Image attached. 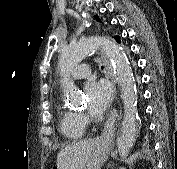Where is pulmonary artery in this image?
<instances>
[{"mask_svg":"<svg viewBox=\"0 0 177 169\" xmlns=\"http://www.w3.org/2000/svg\"><path fill=\"white\" fill-rule=\"evenodd\" d=\"M90 73L91 72H90L88 66L83 64V65H80L79 67H77L73 71L72 75L75 80H82V79L87 78L90 75Z\"/></svg>","mask_w":177,"mask_h":169,"instance_id":"1","label":"pulmonary artery"}]
</instances>
